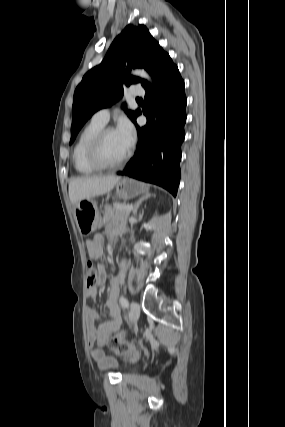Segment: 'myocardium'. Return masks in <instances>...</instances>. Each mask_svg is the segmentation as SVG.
<instances>
[{
    "mask_svg": "<svg viewBox=\"0 0 285 427\" xmlns=\"http://www.w3.org/2000/svg\"><path fill=\"white\" fill-rule=\"evenodd\" d=\"M115 129L111 126L103 127L90 141L86 156L88 162L98 170H110L123 165L131 156L132 151L129 149L127 153L115 162H105L102 158V146L107 134Z\"/></svg>",
    "mask_w": 285,
    "mask_h": 427,
    "instance_id": "myocardium-1",
    "label": "myocardium"
}]
</instances>
